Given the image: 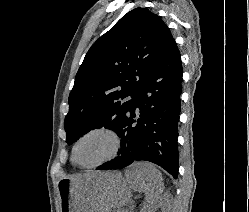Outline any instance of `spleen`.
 <instances>
[{"label": "spleen", "instance_id": "1", "mask_svg": "<svg viewBox=\"0 0 249 212\" xmlns=\"http://www.w3.org/2000/svg\"><path fill=\"white\" fill-rule=\"evenodd\" d=\"M152 174H154V176H161L160 172H158V170H152ZM149 188V196H153L152 192H154V190H159L160 186L159 184H154V188H150V186H148ZM159 194H156L155 198H158Z\"/></svg>", "mask_w": 249, "mask_h": 212}]
</instances>
